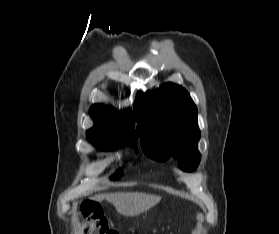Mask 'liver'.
Segmentation results:
<instances>
[{
	"mask_svg": "<svg viewBox=\"0 0 279 234\" xmlns=\"http://www.w3.org/2000/svg\"><path fill=\"white\" fill-rule=\"evenodd\" d=\"M104 198L114 205L119 214L124 216H137L161 200L160 196L139 192L112 193L98 196L96 200L101 201Z\"/></svg>",
	"mask_w": 279,
	"mask_h": 234,
	"instance_id": "1",
	"label": "liver"
}]
</instances>
